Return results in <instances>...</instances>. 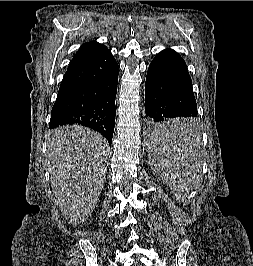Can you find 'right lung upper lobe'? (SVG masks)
Listing matches in <instances>:
<instances>
[{
  "mask_svg": "<svg viewBox=\"0 0 253 266\" xmlns=\"http://www.w3.org/2000/svg\"><path fill=\"white\" fill-rule=\"evenodd\" d=\"M105 47L106 46H104L103 44H99L96 41H90L83 44L78 50V52L75 54V56L73 57L72 61L70 62V65L93 56L95 53H97L98 51H100Z\"/></svg>",
  "mask_w": 253,
  "mask_h": 266,
  "instance_id": "1",
  "label": "right lung upper lobe"
}]
</instances>
